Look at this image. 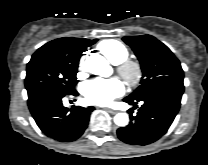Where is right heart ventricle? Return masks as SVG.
<instances>
[{
  "label": "right heart ventricle",
  "instance_id": "1",
  "mask_svg": "<svg viewBox=\"0 0 208 165\" xmlns=\"http://www.w3.org/2000/svg\"><path fill=\"white\" fill-rule=\"evenodd\" d=\"M101 53L113 64H119L129 56L128 48L120 41L114 39L103 40L98 45Z\"/></svg>",
  "mask_w": 208,
  "mask_h": 165
}]
</instances>
